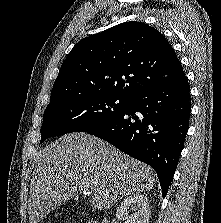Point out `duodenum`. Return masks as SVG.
I'll return each mask as SVG.
<instances>
[{
  "label": "duodenum",
  "instance_id": "410a0bca",
  "mask_svg": "<svg viewBox=\"0 0 221 223\" xmlns=\"http://www.w3.org/2000/svg\"><path fill=\"white\" fill-rule=\"evenodd\" d=\"M103 223H108V221L107 220H104V222Z\"/></svg>",
  "mask_w": 221,
  "mask_h": 223
}]
</instances>
